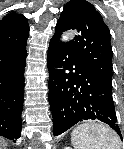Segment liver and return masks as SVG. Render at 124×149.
Returning <instances> with one entry per match:
<instances>
[{"label":"liver","mask_w":124,"mask_h":149,"mask_svg":"<svg viewBox=\"0 0 124 149\" xmlns=\"http://www.w3.org/2000/svg\"><path fill=\"white\" fill-rule=\"evenodd\" d=\"M6 146L7 143L2 138H0V149H5Z\"/></svg>","instance_id":"1"}]
</instances>
